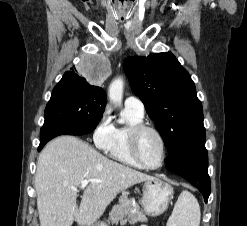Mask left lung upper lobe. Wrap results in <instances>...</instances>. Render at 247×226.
Segmentation results:
<instances>
[{"label": "left lung upper lobe", "mask_w": 247, "mask_h": 226, "mask_svg": "<svg viewBox=\"0 0 247 226\" xmlns=\"http://www.w3.org/2000/svg\"><path fill=\"white\" fill-rule=\"evenodd\" d=\"M123 67L169 154L205 140L203 109L194 82L171 52L128 57Z\"/></svg>", "instance_id": "left-lung-upper-lobe-1"}]
</instances>
